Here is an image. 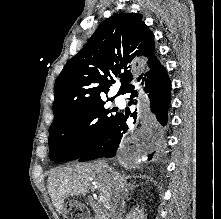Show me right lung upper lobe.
<instances>
[{"label":"right lung upper lobe","instance_id":"right-lung-upper-lobe-1","mask_svg":"<svg viewBox=\"0 0 221 219\" xmlns=\"http://www.w3.org/2000/svg\"><path fill=\"white\" fill-rule=\"evenodd\" d=\"M153 52L154 34L141 15L115 13L103 21L83 49L66 63L55 82L54 121L79 107L101 101L115 77L121 78L117 95L123 93L133 77L141 73V57H147L149 65L155 59Z\"/></svg>","mask_w":221,"mask_h":219}]
</instances>
